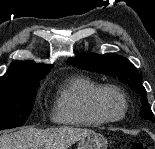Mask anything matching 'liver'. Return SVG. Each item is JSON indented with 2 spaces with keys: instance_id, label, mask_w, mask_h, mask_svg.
Masks as SVG:
<instances>
[{
  "instance_id": "liver-1",
  "label": "liver",
  "mask_w": 155,
  "mask_h": 149,
  "mask_svg": "<svg viewBox=\"0 0 155 149\" xmlns=\"http://www.w3.org/2000/svg\"><path fill=\"white\" fill-rule=\"evenodd\" d=\"M90 133L93 131L66 126L46 130L28 127L1 135L0 149H68Z\"/></svg>"
}]
</instances>
